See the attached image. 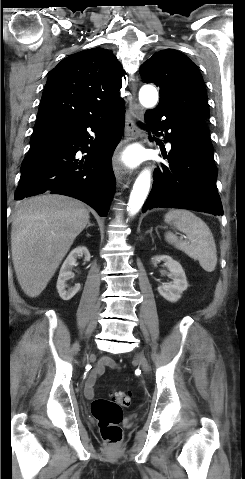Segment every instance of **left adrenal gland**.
<instances>
[{
  "label": "left adrenal gland",
  "mask_w": 245,
  "mask_h": 479,
  "mask_svg": "<svg viewBox=\"0 0 245 479\" xmlns=\"http://www.w3.org/2000/svg\"><path fill=\"white\" fill-rule=\"evenodd\" d=\"M148 233H149L150 236L152 237V228L148 231ZM152 241H153V237H152Z\"/></svg>",
  "instance_id": "left-adrenal-gland-1"
}]
</instances>
